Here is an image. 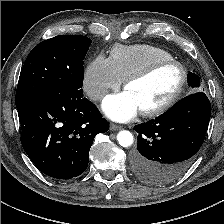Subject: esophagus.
<instances>
[{"mask_svg": "<svg viewBox=\"0 0 224 224\" xmlns=\"http://www.w3.org/2000/svg\"><path fill=\"white\" fill-rule=\"evenodd\" d=\"M122 127L120 125H117V124H110V130L111 131H116V130H119L121 129Z\"/></svg>", "mask_w": 224, "mask_h": 224, "instance_id": "34e87169", "label": "esophagus"}]
</instances>
